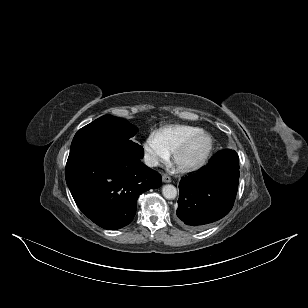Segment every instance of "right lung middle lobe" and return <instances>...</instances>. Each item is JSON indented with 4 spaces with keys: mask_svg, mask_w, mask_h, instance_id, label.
Wrapping results in <instances>:
<instances>
[{
    "mask_svg": "<svg viewBox=\"0 0 308 308\" xmlns=\"http://www.w3.org/2000/svg\"><path fill=\"white\" fill-rule=\"evenodd\" d=\"M138 128L111 115L102 116L74 136L70 154L86 150H117L142 158L143 147L131 141Z\"/></svg>",
    "mask_w": 308,
    "mask_h": 308,
    "instance_id": "right-lung-middle-lobe-1",
    "label": "right lung middle lobe"
}]
</instances>
